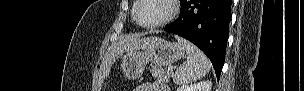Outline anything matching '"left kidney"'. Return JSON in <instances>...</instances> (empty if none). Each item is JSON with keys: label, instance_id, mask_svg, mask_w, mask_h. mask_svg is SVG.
I'll return each mask as SVG.
<instances>
[{"label": "left kidney", "instance_id": "left-kidney-1", "mask_svg": "<svg viewBox=\"0 0 304 91\" xmlns=\"http://www.w3.org/2000/svg\"><path fill=\"white\" fill-rule=\"evenodd\" d=\"M211 87V81H203L197 84L179 86L177 91H211Z\"/></svg>", "mask_w": 304, "mask_h": 91}]
</instances>
